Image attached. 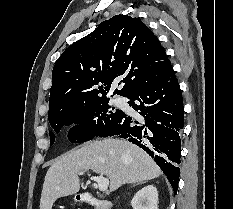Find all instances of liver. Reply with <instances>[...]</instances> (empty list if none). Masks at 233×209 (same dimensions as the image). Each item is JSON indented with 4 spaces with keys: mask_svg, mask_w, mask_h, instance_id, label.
<instances>
[{
    "mask_svg": "<svg viewBox=\"0 0 233 209\" xmlns=\"http://www.w3.org/2000/svg\"><path fill=\"white\" fill-rule=\"evenodd\" d=\"M93 170L106 175L110 192L124 184L159 177L162 171L152 158L126 140L106 138L84 144L58 158L48 169L40 209H52L54 202L80 190V172Z\"/></svg>",
    "mask_w": 233,
    "mask_h": 209,
    "instance_id": "6515ba94",
    "label": "liver"
}]
</instances>
